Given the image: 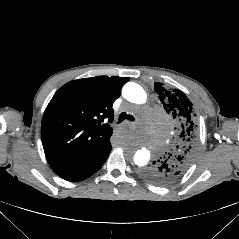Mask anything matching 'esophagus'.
<instances>
[{
	"label": "esophagus",
	"instance_id": "obj_1",
	"mask_svg": "<svg viewBox=\"0 0 239 239\" xmlns=\"http://www.w3.org/2000/svg\"><path fill=\"white\" fill-rule=\"evenodd\" d=\"M112 135H113V137H115V138H120V137L122 136V131H121V129H120L119 127H114V128L112 129Z\"/></svg>",
	"mask_w": 239,
	"mask_h": 239
}]
</instances>
